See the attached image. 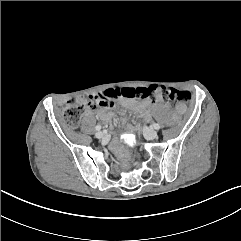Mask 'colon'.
<instances>
[{"label": "colon", "mask_w": 241, "mask_h": 241, "mask_svg": "<svg viewBox=\"0 0 241 241\" xmlns=\"http://www.w3.org/2000/svg\"><path fill=\"white\" fill-rule=\"evenodd\" d=\"M141 98L157 99L167 102L187 103L191 95L186 91L170 89L157 85L137 88H121L119 86L108 88L102 87L96 95L77 96L72 98L62 109V117L71 126L79 122V113L86 108H93L97 105H112L119 98ZM179 120V116L174 114L172 118L166 121L167 127H172Z\"/></svg>", "instance_id": "1"}]
</instances>
